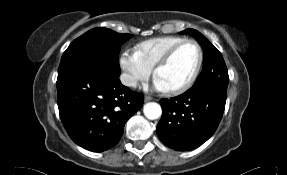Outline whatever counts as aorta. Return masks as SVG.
Segmentation results:
<instances>
[{
  "instance_id": "aorta-1",
  "label": "aorta",
  "mask_w": 287,
  "mask_h": 175,
  "mask_svg": "<svg viewBox=\"0 0 287 175\" xmlns=\"http://www.w3.org/2000/svg\"><path fill=\"white\" fill-rule=\"evenodd\" d=\"M143 113L148 119L154 120L161 116L162 109L158 103L149 102L144 105Z\"/></svg>"
}]
</instances>
